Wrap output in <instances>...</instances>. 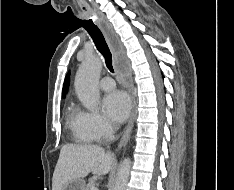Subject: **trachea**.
<instances>
[{
  "mask_svg": "<svg viewBox=\"0 0 234 190\" xmlns=\"http://www.w3.org/2000/svg\"><path fill=\"white\" fill-rule=\"evenodd\" d=\"M84 28L87 30V32L89 33V35L93 39L98 51L105 58V63H106L107 68L113 73L114 70H113V66H112V55H111V52L108 48V45L105 41V38H104L101 30L94 23H89L88 25H85Z\"/></svg>",
  "mask_w": 234,
  "mask_h": 190,
  "instance_id": "3493384b",
  "label": "trachea"
}]
</instances>
